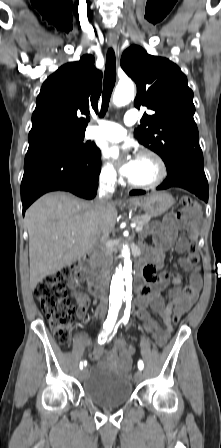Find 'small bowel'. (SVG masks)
<instances>
[{
	"label": "small bowel",
	"instance_id": "c3829d8e",
	"mask_svg": "<svg viewBox=\"0 0 221 448\" xmlns=\"http://www.w3.org/2000/svg\"><path fill=\"white\" fill-rule=\"evenodd\" d=\"M179 229L177 217L174 214H168L156 227L151 237L152 244H146L143 248L146 263L142 269V282L137 288V315L143 322L145 330L152 335L160 347H163L170 338L173 330V315L181 317L187 313L202 288L200 267L190 264L185 257H180L177 263L189 272L188 284L182 288L183 279L180 275H176L172 278L174 287L169 292L170 302L165 303L161 295V290L169 282L166 274H157V269L162 265L164 251L174 247L178 253L184 254L190 242L198 235L196 223H191L184 228L186 236L178 237ZM75 300L77 317L85 318L90 304L89 297L78 295ZM148 308L161 317L164 328H161L157 320L150 315ZM134 354L135 348L126 344L123 339H119L107 353L102 348H97L92 359L98 361L104 358L112 367L126 374L131 368Z\"/></svg>",
	"mask_w": 221,
	"mask_h": 448
}]
</instances>
